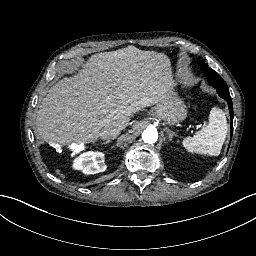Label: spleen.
<instances>
[{
	"label": "spleen",
	"instance_id": "obj_1",
	"mask_svg": "<svg viewBox=\"0 0 256 256\" xmlns=\"http://www.w3.org/2000/svg\"><path fill=\"white\" fill-rule=\"evenodd\" d=\"M227 134L224 112L214 106L209 113L208 123L193 137H186L182 146L189 154L216 157L220 154Z\"/></svg>",
	"mask_w": 256,
	"mask_h": 256
}]
</instances>
